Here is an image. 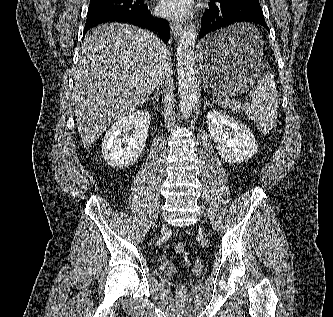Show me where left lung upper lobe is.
Segmentation results:
<instances>
[{
  "instance_id": "1",
  "label": "left lung upper lobe",
  "mask_w": 333,
  "mask_h": 317,
  "mask_svg": "<svg viewBox=\"0 0 333 317\" xmlns=\"http://www.w3.org/2000/svg\"><path fill=\"white\" fill-rule=\"evenodd\" d=\"M215 1V0H211ZM230 1H236V2H258L259 0H230Z\"/></svg>"
}]
</instances>
